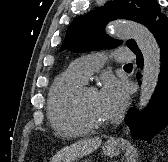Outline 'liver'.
<instances>
[{"instance_id":"obj_1","label":"liver","mask_w":168,"mask_h":162,"mask_svg":"<svg viewBox=\"0 0 168 162\" xmlns=\"http://www.w3.org/2000/svg\"><path fill=\"white\" fill-rule=\"evenodd\" d=\"M101 142L99 138L78 141L58 151L50 162H72L96 150Z\"/></svg>"}]
</instances>
